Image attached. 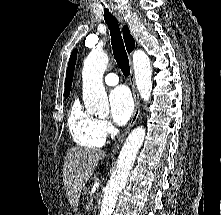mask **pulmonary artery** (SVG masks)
Listing matches in <instances>:
<instances>
[{
  "instance_id": "1",
  "label": "pulmonary artery",
  "mask_w": 221,
  "mask_h": 215,
  "mask_svg": "<svg viewBox=\"0 0 221 215\" xmlns=\"http://www.w3.org/2000/svg\"><path fill=\"white\" fill-rule=\"evenodd\" d=\"M104 82L109 86H114L119 83V77L115 73H109L105 76Z\"/></svg>"
}]
</instances>
